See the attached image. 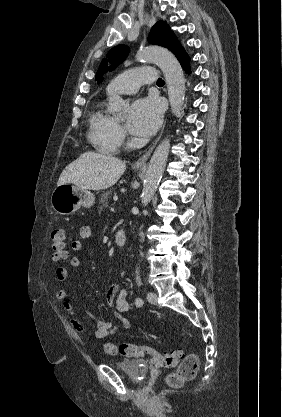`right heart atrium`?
<instances>
[{"mask_svg":"<svg viewBox=\"0 0 282 417\" xmlns=\"http://www.w3.org/2000/svg\"><path fill=\"white\" fill-rule=\"evenodd\" d=\"M119 134H120L121 139H123L125 137V134L121 130L119 131Z\"/></svg>","mask_w":282,"mask_h":417,"instance_id":"1","label":"right heart atrium"}]
</instances>
